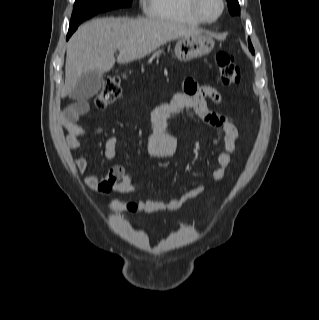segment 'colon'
I'll return each mask as SVG.
<instances>
[{"label":"colon","mask_w":319,"mask_h":320,"mask_svg":"<svg viewBox=\"0 0 319 320\" xmlns=\"http://www.w3.org/2000/svg\"><path fill=\"white\" fill-rule=\"evenodd\" d=\"M216 63L219 68V81L223 85H233L239 83L241 79L240 70L234 62V58L224 51L216 54ZM127 78L125 72H119L110 75L104 79L102 89L96 98L98 107H105L114 103L122 92V87ZM114 170H121L120 167H114ZM130 211H136L137 205L133 202L128 204Z\"/></svg>","instance_id":"colon-1"}]
</instances>
